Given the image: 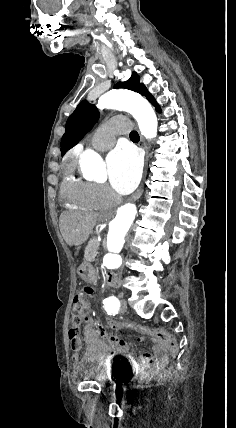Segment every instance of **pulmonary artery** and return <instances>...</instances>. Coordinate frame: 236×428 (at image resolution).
<instances>
[{"label": "pulmonary artery", "mask_w": 236, "mask_h": 428, "mask_svg": "<svg viewBox=\"0 0 236 428\" xmlns=\"http://www.w3.org/2000/svg\"><path fill=\"white\" fill-rule=\"evenodd\" d=\"M113 142H94L93 148L99 151L108 150L113 146Z\"/></svg>", "instance_id": "obj_1"}]
</instances>
